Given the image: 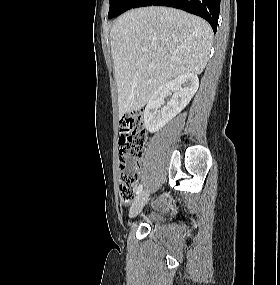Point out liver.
Here are the masks:
<instances>
[{
  "mask_svg": "<svg viewBox=\"0 0 280 285\" xmlns=\"http://www.w3.org/2000/svg\"><path fill=\"white\" fill-rule=\"evenodd\" d=\"M212 39L205 20L181 10L146 7L120 16L110 32L119 116L141 109L171 79L201 74Z\"/></svg>",
  "mask_w": 280,
  "mask_h": 285,
  "instance_id": "1",
  "label": "liver"
}]
</instances>
